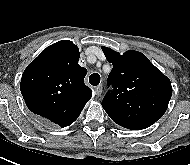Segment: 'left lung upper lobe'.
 Segmentation results:
<instances>
[{"label": "left lung upper lobe", "mask_w": 190, "mask_h": 165, "mask_svg": "<svg viewBox=\"0 0 190 165\" xmlns=\"http://www.w3.org/2000/svg\"><path fill=\"white\" fill-rule=\"evenodd\" d=\"M102 50L113 64L108 85L114 87L102 101L104 110L124 128L141 130L151 126L167 110L172 96L169 78L138 51L121 55L108 47Z\"/></svg>", "instance_id": "1"}]
</instances>
